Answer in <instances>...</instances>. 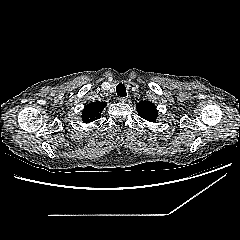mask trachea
<instances>
[{"label":"trachea","instance_id":"obj_1","mask_svg":"<svg viewBox=\"0 0 240 240\" xmlns=\"http://www.w3.org/2000/svg\"><path fill=\"white\" fill-rule=\"evenodd\" d=\"M116 92H117V95L120 96V97L127 96L126 88L123 84H118L116 86Z\"/></svg>","mask_w":240,"mask_h":240}]
</instances>
